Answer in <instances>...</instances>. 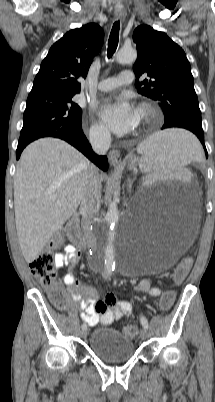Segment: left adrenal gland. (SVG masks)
Listing matches in <instances>:
<instances>
[{
    "instance_id": "1",
    "label": "left adrenal gland",
    "mask_w": 215,
    "mask_h": 402,
    "mask_svg": "<svg viewBox=\"0 0 215 402\" xmlns=\"http://www.w3.org/2000/svg\"><path fill=\"white\" fill-rule=\"evenodd\" d=\"M134 180H135L134 178L133 179H131V178L127 179V191L129 193L131 192V188H132V184H133Z\"/></svg>"
}]
</instances>
